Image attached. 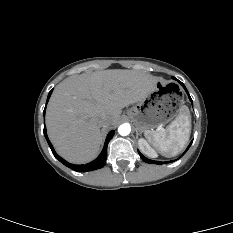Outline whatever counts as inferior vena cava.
<instances>
[{"label":"inferior vena cava","instance_id":"obj_1","mask_svg":"<svg viewBox=\"0 0 233 233\" xmlns=\"http://www.w3.org/2000/svg\"><path fill=\"white\" fill-rule=\"evenodd\" d=\"M107 124H108L107 119H106V118H101V120H100V125H101L102 127H105V126H107Z\"/></svg>","mask_w":233,"mask_h":233}]
</instances>
